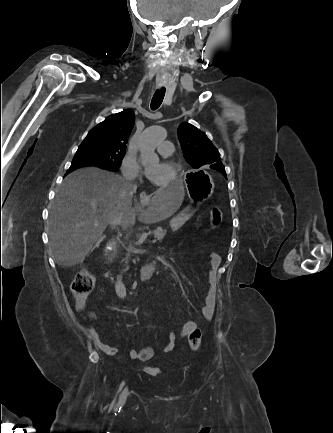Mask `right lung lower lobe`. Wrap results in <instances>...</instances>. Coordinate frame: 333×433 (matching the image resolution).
<instances>
[{
  "label": "right lung lower lobe",
  "instance_id": "98d812e1",
  "mask_svg": "<svg viewBox=\"0 0 333 433\" xmlns=\"http://www.w3.org/2000/svg\"><path fill=\"white\" fill-rule=\"evenodd\" d=\"M91 165L99 166V165H96V164H89V163H79V164L72 163L71 166H70V168H69V170L67 171L66 175L68 173H70L71 171L77 169V168H80V167H83V166H91ZM99 167L106 168L104 166H99ZM106 169H108V168H106Z\"/></svg>",
  "mask_w": 333,
  "mask_h": 433
}]
</instances>
